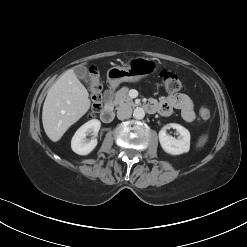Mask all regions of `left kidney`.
<instances>
[{"mask_svg": "<svg viewBox=\"0 0 247 247\" xmlns=\"http://www.w3.org/2000/svg\"><path fill=\"white\" fill-rule=\"evenodd\" d=\"M169 126L176 129L179 137L176 139L168 135L165 127L161 129L159 132V141L162 149L171 155H180L188 152L190 149V132L179 124L171 123Z\"/></svg>", "mask_w": 247, "mask_h": 247, "instance_id": "left-kidney-1", "label": "left kidney"}]
</instances>
